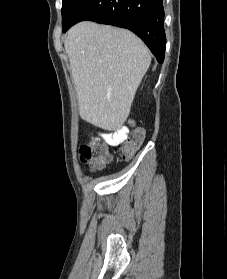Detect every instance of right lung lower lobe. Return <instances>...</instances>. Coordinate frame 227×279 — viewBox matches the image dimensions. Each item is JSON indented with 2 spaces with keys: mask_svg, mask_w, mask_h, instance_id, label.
Masks as SVG:
<instances>
[{
  "mask_svg": "<svg viewBox=\"0 0 227 279\" xmlns=\"http://www.w3.org/2000/svg\"><path fill=\"white\" fill-rule=\"evenodd\" d=\"M85 20L131 30L144 41L158 62H163L166 36L162 0H84L72 25Z\"/></svg>",
  "mask_w": 227,
  "mask_h": 279,
  "instance_id": "1",
  "label": "right lung lower lobe"
}]
</instances>
